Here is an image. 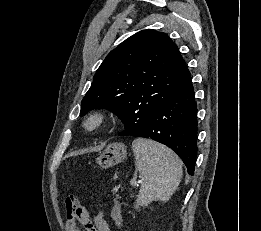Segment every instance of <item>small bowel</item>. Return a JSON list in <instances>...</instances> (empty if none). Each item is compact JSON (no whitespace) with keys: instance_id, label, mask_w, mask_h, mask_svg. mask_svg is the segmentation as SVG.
<instances>
[{"instance_id":"c3829d8e","label":"small bowel","mask_w":261,"mask_h":231,"mask_svg":"<svg viewBox=\"0 0 261 231\" xmlns=\"http://www.w3.org/2000/svg\"><path fill=\"white\" fill-rule=\"evenodd\" d=\"M86 214L91 219L88 211H86ZM91 221L94 225L95 231H110L109 225L104 218L102 210H99L97 214L94 215L93 220ZM65 231H81V228L78 226L77 222L66 220Z\"/></svg>"}]
</instances>
